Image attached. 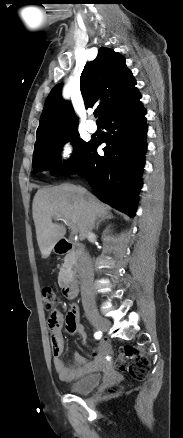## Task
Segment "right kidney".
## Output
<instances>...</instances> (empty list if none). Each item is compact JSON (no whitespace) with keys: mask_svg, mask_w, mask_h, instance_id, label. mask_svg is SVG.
<instances>
[{"mask_svg":"<svg viewBox=\"0 0 183 438\" xmlns=\"http://www.w3.org/2000/svg\"><path fill=\"white\" fill-rule=\"evenodd\" d=\"M107 232H108V229L105 230V233H107ZM105 233H104V235H105Z\"/></svg>","mask_w":183,"mask_h":438,"instance_id":"1","label":"right kidney"}]
</instances>
